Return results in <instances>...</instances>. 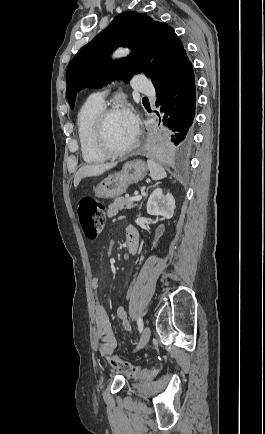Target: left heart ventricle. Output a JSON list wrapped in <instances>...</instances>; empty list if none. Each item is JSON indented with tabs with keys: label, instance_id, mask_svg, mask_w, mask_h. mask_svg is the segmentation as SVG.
<instances>
[{
	"label": "left heart ventricle",
	"instance_id": "left-heart-ventricle-1",
	"mask_svg": "<svg viewBox=\"0 0 265 434\" xmlns=\"http://www.w3.org/2000/svg\"><path fill=\"white\" fill-rule=\"evenodd\" d=\"M108 140L116 150L126 149L136 140V136L125 125L120 113L112 116L108 122Z\"/></svg>",
	"mask_w": 265,
	"mask_h": 434
}]
</instances>
